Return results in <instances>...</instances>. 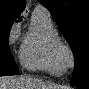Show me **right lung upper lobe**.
<instances>
[{
    "mask_svg": "<svg viewBox=\"0 0 89 89\" xmlns=\"http://www.w3.org/2000/svg\"><path fill=\"white\" fill-rule=\"evenodd\" d=\"M24 8V0H0V16L18 18Z\"/></svg>",
    "mask_w": 89,
    "mask_h": 89,
    "instance_id": "cb5924a9",
    "label": "right lung upper lobe"
}]
</instances>
